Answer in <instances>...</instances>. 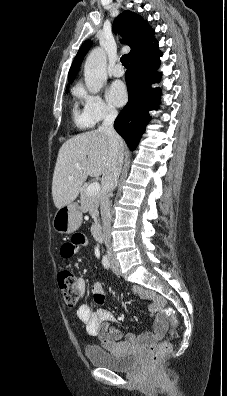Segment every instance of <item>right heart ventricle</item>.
Masks as SVG:
<instances>
[{
	"label": "right heart ventricle",
	"instance_id": "obj_1",
	"mask_svg": "<svg viewBox=\"0 0 227 396\" xmlns=\"http://www.w3.org/2000/svg\"><path fill=\"white\" fill-rule=\"evenodd\" d=\"M72 115H73L74 123L79 129H87L93 125L86 118L84 113L79 110L77 104H74V106H73Z\"/></svg>",
	"mask_w": 227,
	"mask_h": 396
}]
</instances>
